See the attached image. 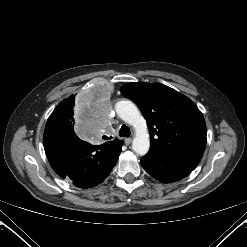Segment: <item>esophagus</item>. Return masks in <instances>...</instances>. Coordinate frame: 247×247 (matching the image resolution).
<instances>
[{
	"mask_svg": "<svg viewBox=\"0 0 247 247\" xmlns=\"http://www.w3.org/2000/svg\"><path fill=\"white\" fill-rule=\"evenodd\" d=\"M124 142L126 145H129L132 142V138H125Z\"/></svg>",
	"mask_w": 247,
	"mask_h": 247,
	"instance_id": "esophagus-1",
	"label": "esophagus"
}]
</instances>
